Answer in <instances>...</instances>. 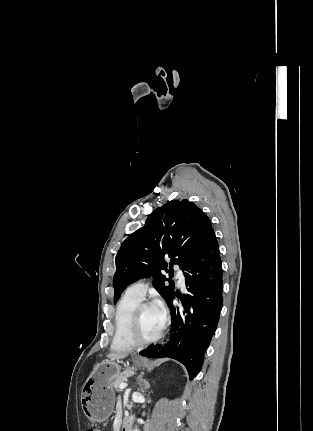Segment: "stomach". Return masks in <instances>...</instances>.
Wrapping results in <instances>:
<instances>
[{"label":"stomach","mask_w":313,"mask_h":431,"mask_svg":"<svg viewBox=\"0 0 313 431\" xmlns=\"http://www.w3.org/2000/svg\"><path fill=\"white\" fill-rule=\"evenodd\" d=\"M137 367L146 364L144 359H133ZM121 366L114 360L98 364L82 387L81 405L91 422H103L112 413L115 402L113 381L122 374Z\"/></svg>","instance_id":"obj_1"}]
</instances>
